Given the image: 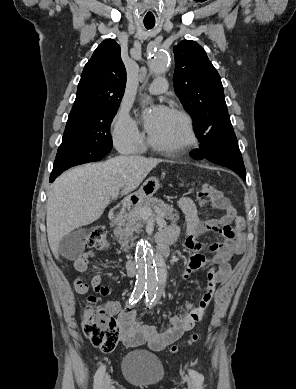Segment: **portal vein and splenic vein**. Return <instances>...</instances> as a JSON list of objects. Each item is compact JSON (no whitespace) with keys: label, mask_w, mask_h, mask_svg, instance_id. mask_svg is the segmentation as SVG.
I'll list each match as a JSON object with an SVG mask.
<instances>
[{"label":"portal vein and splenic vein","mask_w":296,"mask_h":389,"mask_svg":"<svg viewBox=\"0 0 296 389\" xmlns=\"http://www.w3.org/2000/svg\"><path fill=\"white\" fill-rule=\"evenodd\" d=\"M118 194H119V191L115 192L113 195H112V199H116L118 197ZM140 215L143 217V218H149L151 216H155L153 215L152 213V210L148 207H142L140 208ZM156 220L157 222L160 224V225H163L165 226L166 225V222L165 220L161 217V216H156Z\"/></svg>","instance_id":"obj_1"}]
</instances>
